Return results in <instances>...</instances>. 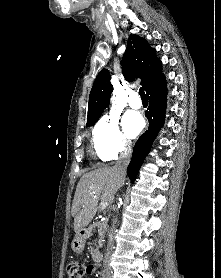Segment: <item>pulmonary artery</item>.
<instances>
[{
  "label": "pulmonary artery",
  "mask_w": 221,
  "mask_h": 278,
  "mask_svg": "<svg viewBox=\"0 0 221 278\" xmlns=\"http://www.w3.org/2000/svg\"><path fill=\"white\" fill-rule=\"evenodd\" d=\"M128 105L133 109H140L142 102L136 92H132L128 98Z\"/></svg>",
  "instance_id": "1"
}]
</instances>
